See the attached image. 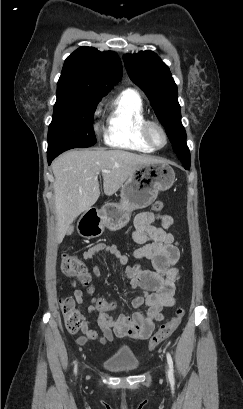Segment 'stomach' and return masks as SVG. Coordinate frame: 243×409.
<instances>
[{"label": "stomach", "instance_id": "stomach-1", "mask_svg": "<svg viewBox=\"0 0 243 409\" xmlns=\"http://www.w3.org/2000/svg\"><path fill=\"white\" fill-rule=\"evenodd\" d=\"M174 182L175 172L165 162L154 161L140 166L122 186L120 202L105 204L87 224L79 225V234L94 238L100 236L105 227L111 231L123 228L133 210L151 205L159 192L168 190Z\"/></svg>", "mask_w": 243, "mask_h": 409}]
</instances>
